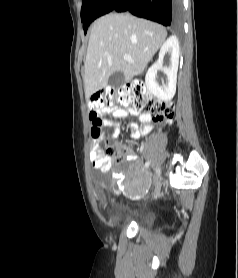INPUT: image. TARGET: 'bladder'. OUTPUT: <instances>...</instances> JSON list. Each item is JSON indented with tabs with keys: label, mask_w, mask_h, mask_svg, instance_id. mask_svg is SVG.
Here are the masks:
<instances>
[{
	"label": "bladder",
	"mask_w": 238,
	"mask_h": 278,
	"mask_svg": "<svg viewBox=\"0 0 238 278\" xmlns=\"http://www.w3.org/2000/svg\"><path fill=\"white\" fill-rule=\"evenodd\" d=\"M109 221L113 226L136 222L141 229H149L150 227L147 215L137 210L124 209L122 207H115L109 210Z\"/></svg>",
	"instance_id": "31cf9c89"
}]
</instances>
